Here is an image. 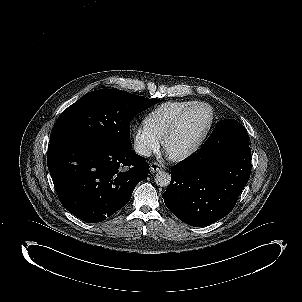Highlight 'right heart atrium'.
I'll return each instance as SVG.
<instances>
[{
  "label": "right heart atrium",
  "instance_id": "1",
  "mask_svg": "<svg viewBox=\"0 0 302 302\" xmlns=\"http://www.w3.org/2000/svg\"><path fill=\"white\" fill-rule=\"evenodd\" d=\"M136 144L140 153H150L159 147L157 137L146 130H138L136 134Z\"/></svg>",
  "mask_w": 302,
  "mask_h": 302
}]
</instances>
